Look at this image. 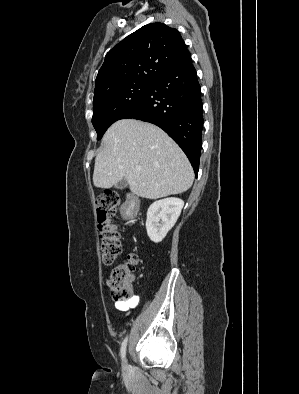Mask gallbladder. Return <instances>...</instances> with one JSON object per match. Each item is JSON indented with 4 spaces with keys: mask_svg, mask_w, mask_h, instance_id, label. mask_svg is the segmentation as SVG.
Instances as JSON below:
<instances>
[{
    "mask_svg": "<svg viewBox=\"0 0 299 394\" xmlns=\"http://www.w3.org/2000/svg\"><path fill=\"white\" fill-rule=\"evenodd\" d=\"M127 186V181L125 178L121 179L115 184V188L117 189H124Z\"/></svg>",
    "mask_w": 299,
    "mask_h": 394,
    "instance_id": "bac80fb5",
    "label": "gallbladder"
}]
</instances>
